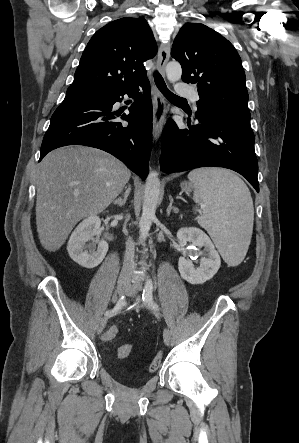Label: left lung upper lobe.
Here are the masks:
<instances>
[{
	"label": "left lung upper lobe",
	"mask_w": 299,
	"mask_h": 443,
	"mask_svg": "<svg viewBox=\"0 0 299 443\" xmlns=\"http://www.w3.org/2000/svg\"><path fill=\"white\" fill-rule=\"evenodd\" d=\"M171 56L182 66V80L197 84L196 117L250 121L242 62L227 39L203 24L187 23L174 40Z\"/></svg>",
	"instance_id": "5c2ea615"
}]
</instances>
